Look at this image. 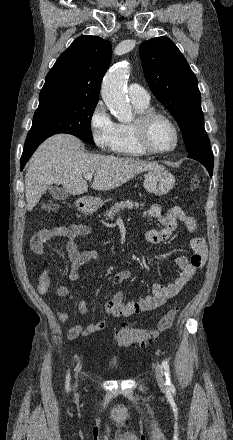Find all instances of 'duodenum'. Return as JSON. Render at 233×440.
<instances>
[{"mask_svg":"<svg viewBox=\"0 0 233 440\" xmlns=\"http://www.w3.org/2000/svg\"><path fill=\"white\" fill-rule=\"evenodd\" d=\"M83 209L86 211V212H89L88 211V209L83 205Z\"/></svg>","mask_w":233,"mask_h":440,"instance_id":"1","label":"duodenum"}]
</instances>
